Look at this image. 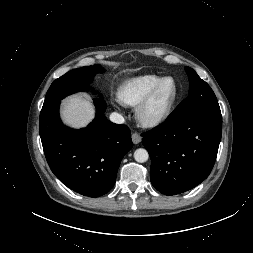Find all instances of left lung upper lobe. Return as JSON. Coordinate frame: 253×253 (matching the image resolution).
<instances>
[{
    "label": "left lung upper lobe",
    "mask_w": 253,
    "mask_h": 253,
    "mask_svg": "<svg viewBox=\"0 0 253 253\" xmlns=\"http://www.w3.org/2000/svg\"><path fill=\"white\" fill-rule=\"evenodd\" d=\"M185 70L190 82L189 95L179 104L169 118L175 119L203 113L221 115L218 101L210 86L192 68L185 67Z\"/></svg>",
    "instance_id": "obj_1"
}]
</instances>
